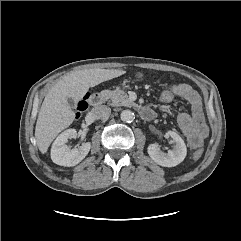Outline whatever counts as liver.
<instances>
[{
  "label": "liver",
  "mask_w": 241,
  "mask_h": 241,
  "mask_svg": "<svg viewBox=\"0 0 241 241\" xmlns=\"http://www.w3.org/2000/svg\"><path fill=\"white\" fill-rule=\"evenodd\" d=\"M126 73L119 69H84L63 76L47 93L39 111L35 138L41 153L45 154L55 139L74 121L75 114L67 98L80 100L90 87Z\"/></svg>",
  "instance_id": "liver-1"
}]
</instances>
